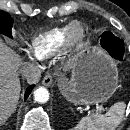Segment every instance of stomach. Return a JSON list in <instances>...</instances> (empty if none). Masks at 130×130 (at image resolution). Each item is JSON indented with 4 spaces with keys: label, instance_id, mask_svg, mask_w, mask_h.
I'll use <instances>...</instances> for the list:
<instances>
[{
    "label": "stomach",
    "instance_id": "1",
    "mask_svg": "<svg viewBox=\"0 0 130 130\" xmlns=\"http://www.w3.org/2000/svg\"><path fill=\"white\" fill-rule=\"evenodd\" d=\"M117 87L115 62L96 47L83 49L77 54L71 79L59 85L62 95L74 104L105 102Z\"/></svg>",
    "mask_w": 130,
    "mask_h": 130
}]
</instances>
